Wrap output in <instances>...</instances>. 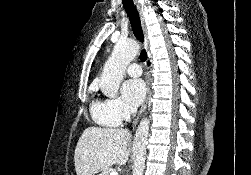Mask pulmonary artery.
Segmentation results:
<instances>
[{"label": "pulmonary artery", "instance_id": "obj_1", "mask_svg": "<svg viewBox=\"0 0 251 175\" xmlns=\"http://www.w3.org/2000/svg\"><path fill=\"white\" fill-rule=\"evenodd\" d=\"M126 72L130 76H140L142 74V68L138 63L133 62L126 68Z\"/></svg>", "mask_w": 251, "mask_h": 175}]
</instances>
